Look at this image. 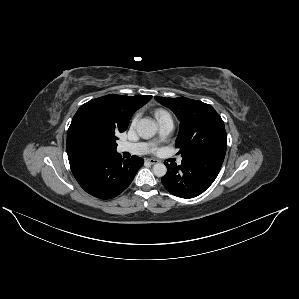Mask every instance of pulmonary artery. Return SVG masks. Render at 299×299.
<instances>
[{"label":"pulmonary artery","mask_w":299,"mask_h":299,"mask_svg":"<svg viewBox=\"0 0 299 299\" xmlns=\"http://www.w3.org/2000/svg\"><path fill=\"white\" fill-rule=\"evenodd\" d=\"M159 135L161 138H167L173 130V120L171 117H165L158 121ZM119 152H129L132 154H147L152 150V145L145 142H122L117 147ZM182 161L178 160V164Z\"/></svg>","instance_id":"pulmonary-artery-1"}]
</instances>
